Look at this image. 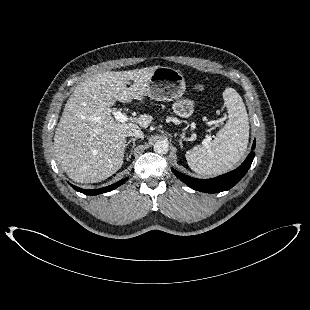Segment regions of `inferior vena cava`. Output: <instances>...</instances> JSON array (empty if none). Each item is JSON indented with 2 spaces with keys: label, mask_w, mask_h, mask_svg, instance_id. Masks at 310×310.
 <instances>
[{
  "label": "inferior vena cava",
  "mask_w": 310,
  "mask_h": 310,
  "mask_svg": "<svg viewBox=\"0 0 310 310\" xmlns=\"http://www.w3.org/2000/svg\"><path fill=\"white\" fill-rule=\"evenodd\" d=\"M127 136H134L136 138H141L143 139L144 138V134L143 132L139 129V128H136V129H132L130 131L127 132Z\"/></svg>",
  "instance_id": "602c4592"
}]
</instances>
